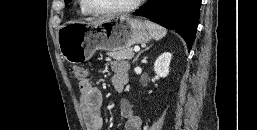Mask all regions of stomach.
Returning <instances> with one entry per match:
<instances>
[{"mask_svg":"<svg viewBox=\"0 0 257 130\" xmlns=\"http://www.w3.org/2000/svg\"><path fill=\"white\" fill-rule=\"evenodd\" d=\"M151 35L139 19L128 16L106 18L98 22L70 21L58 30L62 57L70 63L89 60L97 50L114 51L146 43Z\"/></svg>","mask_w":257,"mask_h":130,"instance_id":"0dacf381","label":"stomach"}]
</instances>
